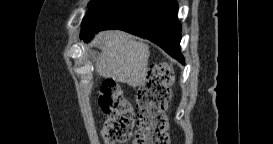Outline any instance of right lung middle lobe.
<instances>
[{
    "label": "right lung middle lobe",
    "instance_id": "right-lung-middle-lobe-1",
    "mask_svg": "<svg viewBox=\"0 0 273 144\" xmlns=\"http://www.w3.org/2000/svg\"><path fill=\"white\" fill-rule=\"evenodd\" d=\"M115 1L116 0H91L88 4L89 12L82 21L81 38L91 32L92 28L98 21V18L106 8Z\"/></svg>",
    "mask_w": 273,
    "mask_h": 144
}]
</instances>
